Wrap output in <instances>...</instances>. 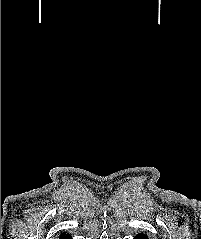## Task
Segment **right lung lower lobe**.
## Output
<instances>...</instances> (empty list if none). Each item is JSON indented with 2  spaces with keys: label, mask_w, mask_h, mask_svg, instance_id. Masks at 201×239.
<instances>
[{
  "label": "right lung lower lobe",
  "mask_w": 201,
  "mask_h": 239,
  "mask_svg": "<svg viewBox=\"0 0 201 239\" xmlns=\"http://www.w3.org/2000/svg\"><path fill=\"white\" fill-rule=\"evenodd\" d=\"M61 239H70V237L68 235H65V236H61Z\"/></svg>",
  "instance_id": "obj_1"
}]
</instances>
